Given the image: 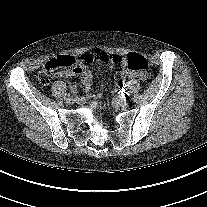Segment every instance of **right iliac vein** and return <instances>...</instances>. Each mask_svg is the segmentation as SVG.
<instances>
[{"mask_svg":"<svg viewBox=\"0 0 207 207\" xmlns=\"http://www.w3.org/2000/svg\"><path fill=\"white\" fill-rule=\"evenodd\" d=\"M68 104H73L75 102V99L70 97L69 99L66 100Z\"/></svg>","mask_w":207,"mask_h":207,"instance_id":"1","label":"right iliac vein"}]
</instances>
